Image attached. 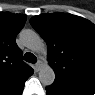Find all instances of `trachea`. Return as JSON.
I'll return each mask as SVG.
<instances>
[{"label":"trachea","mask_w":95,"mask_h":95,"mask_svg":"<svg viewBox=\"0 0 95 95\" xmlns=\"http://www.w3.org/2000/svg\"><path fill=\"white\" fill-rule=\"evenodd\" d=\"M24 60L29 63H36L37 62L36 56L33 55L32 53H29V52L25 53Z\"/></svg>","instance_id":"trachea-1"}]
</instances>
